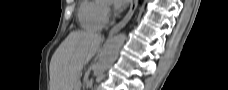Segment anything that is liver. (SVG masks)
I'll list each match as a JSON object with an SVG mask.
<instances>
[{
    "label": "liver",
    "instance_id": "1",
    "mask_svg": "<svg viewBox=\"0 0 228 90\" xmlns=\"http://www.w3.org/2000/svg\"><path fill=\"white\" fill-rule=\"evenodd\" d=\"M102 37L96 33L71 32L50 62L51 90H76L83 66L96 54Z\"/></svg>",
    "mask_w": 228,
    "mask_h": 90
}]
</instances>
